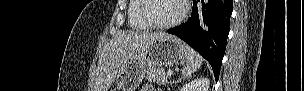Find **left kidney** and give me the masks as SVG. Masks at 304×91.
<instances>
[{
	"mask_svg": "<svg viewBox=\"0 0 304 91\" xmlns=\"http://www.w3.org/2000/svg\"><path fill=\"white\" fill-rule=\"evenodd\" d=\"M210 80L208 78H197L184 85L180 91H208Z\"/></svg>",
	"mask_w": 304,
	"mask_h": 91,
	"instance_id": "obj_1",
	"label": "left kidney"
}]
</instances>
